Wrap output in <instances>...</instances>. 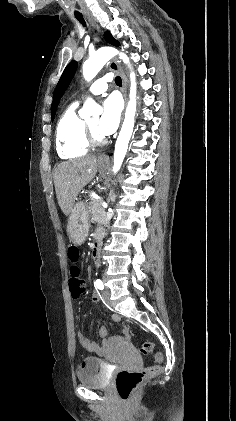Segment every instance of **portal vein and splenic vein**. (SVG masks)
<instances>
[{
	"label": "portal vein and splenic vein",
	"mask_w": 236,
	"mask_h": 421,
	"mask_svg": "<svg viewBox=\"0 0 236 421\" xmlns=\"http://www.w3.org/2000/svg\"><path fill=\"white\" fill-rule=\"evenodd\" d=\"M101 204H102V206H104L105 209L109 208V205L107 204V202H103V200H102Z\"/></svg>",
	"instance_id": "obj_1"
}]
</instances>
